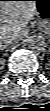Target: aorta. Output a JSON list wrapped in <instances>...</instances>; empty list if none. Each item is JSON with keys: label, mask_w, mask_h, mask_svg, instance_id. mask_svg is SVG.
<instances>
[{"label": "aorta", "mask_w": 50, "mask_h": 111, "mask_svg": "<svg viewBox=\"0 0 50 111\" xmlns=\"http://www.w3.org/2000/svg\"><path fill=\"white\" fill-rule=\"evenodd\" d=\"M28 47L35 52L45 50V42L40 36H32L28 40Z\"/></svg>", "instance_id": "obj_1"}]
</instances>
